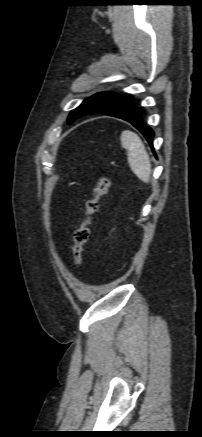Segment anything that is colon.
Listing matches in <instances>:
<instances>
[{"label": "colon", "instance_id": "colon-1", "mask_svg": "<svg viewBox=\"0 0 202 437\" xmlns=\"http://www.w3.org/2000/svg\"><path fill=\"white\" fill-rule=\"evenodd\" d=\"M111 186V179L104 173L98 178V183L94 189V194L86 203V210L81 218L79 226L74 231L73 245V264L79 268L82 261L84 246L90 235V224L93 215L98 211L101 200L107 195Z\"/></svg>", "mask_w": 202, "mask_h": 437}]
</instances>
